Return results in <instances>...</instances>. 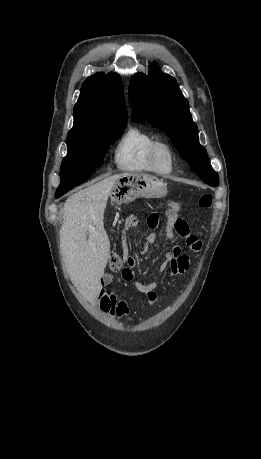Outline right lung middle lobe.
Listing matches in <instances>:
<instances>
[{
    "label": "right lung middle lobe",
    "mask_w": 261,
    "mask_h": 459,
    "mask_svg": "<svg viewBox=\"0 0 261 459\" xmlns=\"http://www.w3.org/2000/svg\"><path fill=\"white\" fill-rule=\"evenodd\" d=\"M125 127L126 123L97 127L67 138L68 154L62 161L61 183L56 198L83 183L95 168L104 163L107 150L121 136Z\"/></svg>",
    "instance_id": "dd1d6c3e"
}]
</instances>
